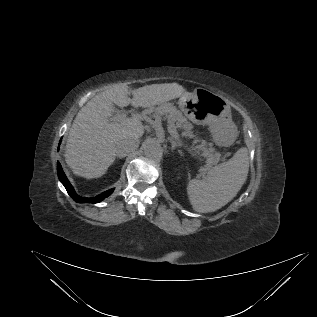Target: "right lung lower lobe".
Returning a JSON list of instances; mask_svg holds the SVG:
<instances>
[{"instance_id": "obj_1", "label": "right lung lower lobe", "mask_w": 317, "mask_h": 317, "mask_svg": "<svg viewBox=\"0 0 317 317\" xmlns=\"http://www.w3.org/2000/svg\"><path fill=\"white\" fill-rule=\"evenodd\" d=\"M58 149H59V147H58ZM57 173H58L59 180L66 188L68 194L73 198L74 201H76L78 203H98V202L102 201L104 198L108 197L114 190V189H110V190H108V191H106V192H104L96 197H93V198L80 197L76 194L74 188L72 187V185L68 181V179H67L65 173L63 172V169H62L59 162L57 163Z\"/></svg>"}]
</instances>
